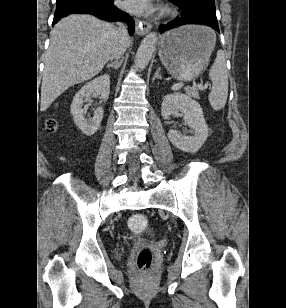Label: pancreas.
<instances>
[{
	"label": "pancreas",
	"mask_w": 286,
	"mask_h": 308,
	"mask_svg": "<svg viewBox=\"0 0 286 308\" xmlns=\"http://www.w3.org/2000/svg\"><path fill=\"white\" fill-rule=\"evenodd\" d=\"M187 92H188V94H189L191 97H193V98H195V99H199V94H198V92H197V90H196L195 87L188 88V89H187Z\"/></svg>",
	"instance_id": "1"
}]
</instances>
